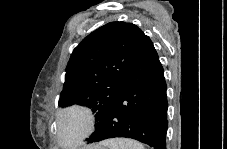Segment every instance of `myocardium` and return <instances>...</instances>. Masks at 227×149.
Segmentation results:
<instances>
[{"label":"myocardium","instance_id":"obj_1","mask_svg":"<svg viewBox=\"0 0 227 149\" xmlns=\"http://www.w3.org/2000/svg\"><path fill=\"white\" fill-rule=\"evenodd\" d=\"M79 116L84 123L82 131L71 141L63 138V127L72 117ZM95 116L92 110L84 105L72 104L63 108L56 119V141L60 146L74 147L81 145L94 131Z\"/></svg>","mask_w":227,"mask_h":149}]
</instances>
